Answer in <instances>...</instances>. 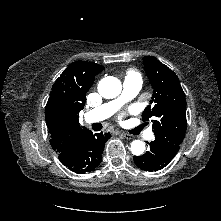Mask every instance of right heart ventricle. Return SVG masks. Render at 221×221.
<instances>
[{
  "label": "right heart ventricle",
  "mask_w": 221,
  "mask_h": 221,
  "mask_svg": "<svg viewBox=\"0 0 221 221\" xmlns=\"http://www.w3.org/2000/svg\"><path fill=\"white\" fill-rule=\"evenodd\" d=\"M132 74H135L134 72H130V74L129 75H132Z\"/></svg>",
  "instance_id": "e07e8e85"
}]
</instances>
